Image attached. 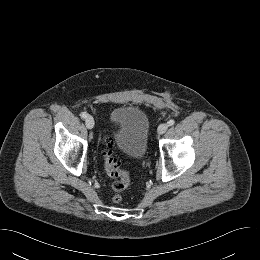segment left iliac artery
<instances>
[{
    "label": "left iliac artery",
    "mask_w": 260,
    "mask_h": 260,
    "mask_svg": "<svg viewBox=\"0 0 260 260\" xmlns=\"http://www.w3.org/2000/svg\"><path fill=\"white\" fill-rule=\"evenodd\" d=\"M174 124H175V121H174L173 119H171V120L168 121V125H169V126H172V125H174Z\"/></svg>",
    "instance_id": "obj_1"
}]
</instances>
